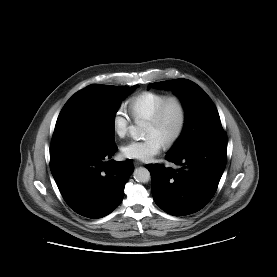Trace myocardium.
Instances as JSON below:
<instances>
[{"label":"myocardium","instance_id":"myocardium-1","mask_svg":"<svg viewBox=\"0 0 277 277\" xmlns=\"http://www.w3.org/2000/svg\"><path fill=\"white\" fill-rule=\"evenodd\" d=\"M170 103H176L179 111H180V120L178 127L175 131V133L164 143L165 148H171L173 147L183 136L184 131L186 129L187 125V119H188V113H187V107L184 102V100L177 96V95H171L168 96L163 102L158 106L154 114L147 120L148 123H151L153 125H158L165 114L166 108Z\"/></svg>","mask_w":277,"mask_h":277}]
</instances>
